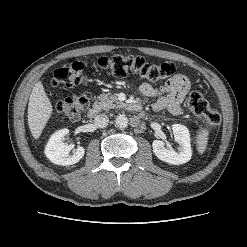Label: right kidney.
<instances>
[{"label":"right kidney","instance_id":"ca27d5eb","mask_svg":"<svg viewBox=\"0 0 247 247\" xmlns=\"http://www.w3.org/2000/svg\"><path fill=\"white\" fill-rule=\"evenodd\" d=\"M68 133V129H61L55 132L45 147V155L54 164L69 166L79 162L84 156L85 149L80 146L74 151L73 155H69L73 145L62 142Z\"/></svg>","mask_w":247,"mask_h":247}]
</instances>
